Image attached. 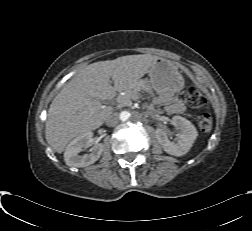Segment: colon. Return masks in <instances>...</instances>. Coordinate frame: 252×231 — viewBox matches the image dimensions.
I'll return each mask as SVG.
<instances>
[{"instance_id":"obj_1","label":"colon","mask_w":252,"mask_h":231,"mask_svg":"<svg viewBox=\"0 0 252 231\" xmlns=\"http://www.w3.org/2000/svg\"><path fill=\"white\" fill-rule=\"evenodd\" d=\"M186 101H187V104L193 109L201 108L206 104V99L204 98V96L198 90L194 88H190L187 90ZM198 124L202 132L208 133L212 129L213 121L209 114H204L199 119Z\"/></svg>"}]
</instances>
